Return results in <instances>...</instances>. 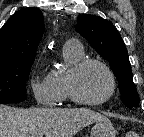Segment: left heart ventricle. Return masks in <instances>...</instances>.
Instances as JSON below:
<instances>
[{
  "label": "left heart ventricle",
  "instance_id": "obj_1",
  "mask_svg": "<svg viewBox=\"0 0 144 137\" xmlns=\"http://www.w3.org/2000/svg\"><path fill=\"white\" fill-rule=\"evenodd\" d=\"M76 89L78 94L85 100H99L108 94L110 80L100 66L90 64L78 74Z\"/></svg>",
  "mask_w": 144,
  "mask_h": 137
}]
</instances>
